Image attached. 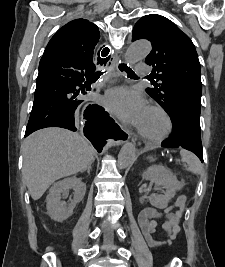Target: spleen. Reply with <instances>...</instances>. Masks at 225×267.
<instances>
[{
    "instance_id": "3e777b00",
    "label": "spleen",
    "mask_w": 225,
    "mask_h": 267,
    "mask_svg": "<svg viewBox=\"0 0 225 267\" xmlns=\"http://www.w3.org/2000/svg\"><path fill=\"white\" fill-rule=\"evenodd\" d=\"M181 161L187 164L186 170L193 174H200L202 171V165L198 158L191 152L182 149L180 151Z\"/></svg>"
}]
</instances>
